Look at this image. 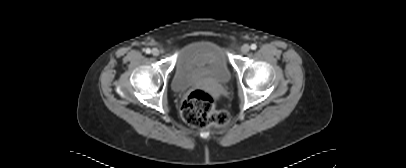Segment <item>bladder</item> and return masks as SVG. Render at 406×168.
I'll use <instances>...</instances> for the list:
<instances>
[{"label": "bladder", "instance_id": "1", "mask_svg": "<svg viewBox=\"0 0 406 168\" xmlns=\"http://www.w3.org/2000/svg\"><path fill=\"white\" fill-rule=\"evenodd\" d=\"M213 80L225 84L230 79V70L220 47L208 40H197L180 50L172 79V88L182 92L202 80Z\"/></svg>", "mask_w": 406, "mask_h": 168}]
</instances>
